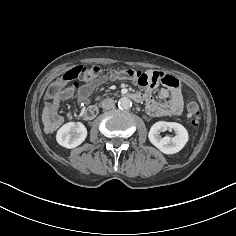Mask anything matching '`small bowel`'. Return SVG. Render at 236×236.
<instances>
[{
    "label": "small bowel",
    "instance_id": "1",
    "mask_svg": "<svg viewBox=\"0 0 236 236\" xmlns=\"http://www.w3.org/2000/svg\"><path fill=\"white\" fill-rule=\"evenodd\" d=\"M148 77L146 85H141L139 78H136L137 84L145 87L144 92L136 93L141 100L146 101V108L149 114L155 117H176L182 113L183 98L179 83L174 87L166 85V80L171 77L160 71H149L145 73ZM104 82V78L95 79L92 83L82 86L78 90L66 89L63 92L62 99L75 97L80 105L88 102L90 93ZM158 83H162L165 87L159 91L160 101H156L152 92ZM59 102L50 101L46 103L43 110L44 128L47 133H53L63 122V117L59 115Z\"/></svg>",
    "mask_w": 236,
    "mask_h": 236
}]
</instances>
